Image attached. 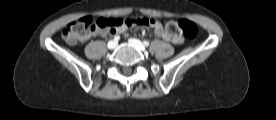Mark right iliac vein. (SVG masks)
<instances>
[{
	"label": "right iliac vein",
	"instance_id": "1",
	"mask_svg": "<svg viewBox=\"0 0 276 120\" xmlns=\"http://www.w3.org/2000/svg\"><path fill=\"white\" fill-rule=\"evenodd\" d=\"M117 45H118V42H117V41H109V42H108V48H109L110 50L115 49V48L117 47Z\"/></svg>",
	"mask_w": 276,
	"mask_h": 120
}]
</instances>
